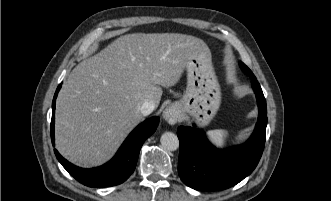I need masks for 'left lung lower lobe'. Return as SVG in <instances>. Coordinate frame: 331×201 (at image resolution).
Instances as JSON below:
<instances>
[{
	"label": "left lung lower lobe",
	"mask_w": 331,
	"mask_h": 201,
	"mask_svg": "<svg viewBox=\"0 0 331 201\" xmlns=\"http://www.w3.org/2000/svg\"><path fill=\"white\" fill-rule=\"evenodd\" d=\"M251 78L259 117L252 136L245 144L230 149H216L195 127L178 128V174L187 186L202 191L227 189L242 181L257 166L265 144L267 108L256 77Z\"/></svg>",
	"instance_id": "obj_1"
}]
</instances>
